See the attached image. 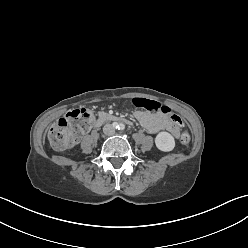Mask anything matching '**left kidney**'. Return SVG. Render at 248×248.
Segmentation results:
<instances>
[{
	"instance_id": "left-kidney-1",
	"label": "left kidney",
	"mask_w": 248,
	"mask_h": 248,
	"mask_svg": "<svg viewBox=\"0 0 248 248\" xmlns=\"http://www.w3.org/2000/svg\"><path fill=\"white\" fill-rule=\"evenodd\" d=\"M156 147L164 152L172 151L175 147L174 137L168 132H160L155 138Z\"/></svg>"
}]
</instances>
